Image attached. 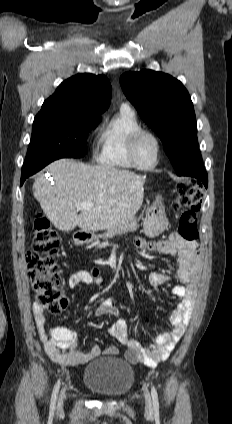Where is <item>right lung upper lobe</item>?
<instances>
[{"mask_svg":"<svg viewBox=\"0 0 232 424\" xmlns=\"http://www.w3.org/2000/svg\"><path fill=\"white\" fill-rule=\"evenodd\" d=\"M111 85L104 75L78 74L58 86L55 93L44 101L41 110L68 109L101 118L109 106Z\"/></svg>","mask_w":232,"mask_h":424,"instance_id":"obj_1","label":"right lung upper lobe"}]
</instances>
